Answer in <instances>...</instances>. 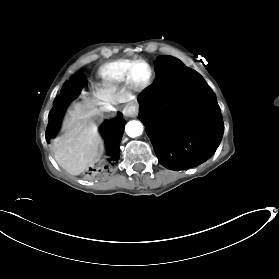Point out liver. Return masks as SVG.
<instances>
[{
    "mask_svg": "<svg viewBox=\"0 0 279 279\" xmlns=\"http://www.w3.org/2000/svg\"><path fill=\"white\" fill-rule=\"evenodd\" d=\"M96 98L112 104L130 101L128 94L119 93L106 87L96 94ZM55 159L58 164L72 175H78L91 166L102 152L100 141L93 125L86 120L81 109L72 113L66 126L65 135L54 144Z\"/></svg>",
    "mask_w": 279,
    "mask_h": 279,
    "instance_id": "1",
    "label": "liver"
}]
</instances>
